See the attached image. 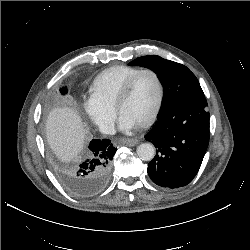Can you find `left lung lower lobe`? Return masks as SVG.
<instances>
[{"mask_svg": "<svg viewBox=\"0 0 250 250\" xmlns=\"http://www.w3.org/2000/svg\"><path fill=\"white\" fill-rule=\"evenodd\" d=\"M205 97L181 103L160 114L145 136L156 156L148 164V175L157 185L179 188L198 173L209 143V112Z\"/></svg>", "mask_w": 250, "mask_h": 250, "instance_id": "1", "label": "left lung lower lobe"}]
</instances>
